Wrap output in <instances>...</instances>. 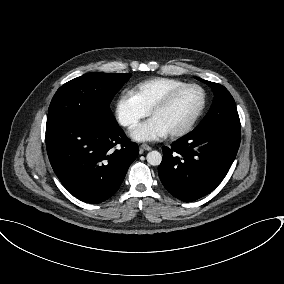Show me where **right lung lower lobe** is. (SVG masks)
Listing matches in <instances>:
<instances>
[{"label":"right lung lower lobe","instance_id":"98d812e1","mask_svg":"<svg viewBox=\"0 0 284 284\" xmlns=\"http://www.w3.org/2000/svg\"><path fill=\"white\" fill-rule=\"evenodd\" d=\"M120 144L122 147L116 149ZM51 166L59 180L78 199L100 203L113 196L138 155L117 123L70 124L46 134Z\"/></svg>","mask_w":284,"mask_h":284}]
</instances>
